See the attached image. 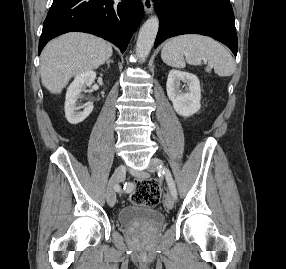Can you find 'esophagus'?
<instances>
[{
	"mask_svg": "<svg viewBox=\"0 0 286 269\" xmlns=\"http://www.w3.org/2000/svg\"><path fill=\"white\" fill-rule=\"evenodd\" d=\"M143 6L146 14L152 13L154 7L152 0H143Z\"/></svg>",
	"mask_w": 286,
	"mask_h": 269,
	"instance_id": "obj_1",
	"label": "esophagus"
}]
</instances>
